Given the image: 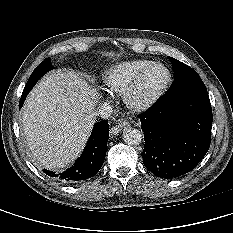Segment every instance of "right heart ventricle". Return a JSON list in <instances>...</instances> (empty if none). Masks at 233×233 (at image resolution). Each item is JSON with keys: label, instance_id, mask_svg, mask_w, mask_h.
<instances>
[{"label": "right heart ventricle", "instance_id": "right-heart-ventricle-1", "mask_svg": "<svg viewBox=\"0 0 233 233\" xmlns=\"http://www.w3.org/2000/svg\"><path fill=\"white\" fill-rule=\"evenodd\" d=\"M155 62L147 59H138L118 63L103 73L106 87L117 94H124L135 79Z\"/></svg>", "mask_w": 233, "mask_h": 233}]
</instances>
